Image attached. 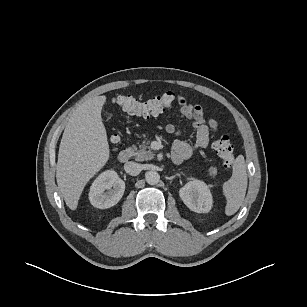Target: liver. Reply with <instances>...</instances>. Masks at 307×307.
I'll return each mask as SVG.
<instances>
[{
	"mask_svg": "<svg viewBox=\"0 0 307 307\" xmlns=\"http://www.w3.org/2000/svg\"><path fill=\"white\" fill-rule=\"evenodd\" d=\"M106 96L82 103L71 115L59 146L56 179L66 205L76 210L88 181L103 168L110 149L101 110Z\"/></svg>",
	"mask_w": 307,
	"mask_h": 307,
	"instance_id": "1",
	"label": "liver"
}]
</instances>
